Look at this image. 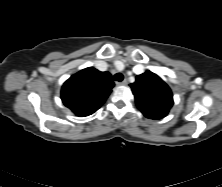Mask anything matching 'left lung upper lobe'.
<instances>
[{
    "instance_id": "obj_1",
    "label": "left lung upper lobe",
    "mask_w": 222,
    "mask_h": 187,
    "mask_svg": "<svg viewBox=\"0 0 222 187\" xmlns=\"http://www.w3.org/2000/svg\"><path fill=\"white\" fill-rule=\"evenodd\" d=\"M139 110L148 118L165 117L173 105L168 85L156 74L146 71L130 84Z\"/></svg>"
}]
</instances>
